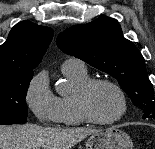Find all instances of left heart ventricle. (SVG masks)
Instances as JSON below:
<instances>
[{"label":"left heart ventricle","instance_id":"left-heart-ventricle-1","mask_svg":"<svg viewBox=\"0 0 155 149\" xmlns=\"http://www.w3.org/2000/svg\"><path fill=\"white\" fill-rule=\"evenodd\" d=\"M89 106L92 113L101 120L116 117L121 110V100L118 93L108 85L96 86L89 96Z\"/></svg>","mask_w":155,"mask_h":149}]
</instances>
